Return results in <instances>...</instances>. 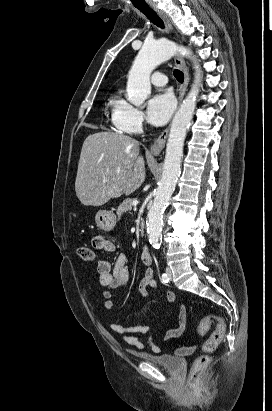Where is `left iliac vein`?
Wrapping results in <instances>:
<instances>
[{
	"instance_id": "obj_1",
	"label": "left iliac vein",
	"mask_w": 272,
	"mask_h": 411,
	"mask_svg": "<svg viewBox=\"0 0 272 411\" xmlns=\"http://www.w3.org/2000/svg\"><path fill=\"white\" fill-rule=\"evenodd\" d=\"M166 273H167L168 278L171 280L173 278V275H172V270L170 267L166 268Z\"/></svg>"
}]
</instances>
